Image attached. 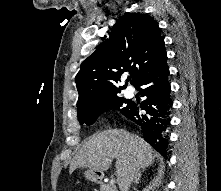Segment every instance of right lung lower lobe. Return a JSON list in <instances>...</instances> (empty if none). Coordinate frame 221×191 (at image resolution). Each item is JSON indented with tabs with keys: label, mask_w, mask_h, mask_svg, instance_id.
Segmentation results:
<instances>
[{
	"label": "right lung lower lobe",
	"mask_w": 221,
	"mask_h": 191,
	"mask_svg": "<svg viewBox=\"0 0 221 191\" xmlns=\"http://www.w3.org/2000/svg\"><path fill=\"white\" fill-rule=\"evenodd\" d=\"M165 53L153 67L148 69L134 85L142 97H147L140 104L131 102L125 115L140 126L144 139L163 156L168 145L167 128L170 125L172 100L170 99L169 69ZM145 110L146 114L141 111Z\"/></svg>",
	"instance_id": "1"
}]
</instances>
